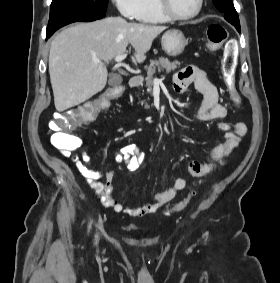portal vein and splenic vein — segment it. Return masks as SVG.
Wrapping results in <instances>:
<instances>
[{"label":"portal vein and splenic vein","mask_w":280,"mask_h":283,"mask_svg":"<svg viewBox=\"0 0 280 283\" xmlns=\"http://www.w3.org/2000/svg\"><path fill=\"white\" fill-rule=\"evenodd\" d=\"M127 57V53H123V54H121V55H117L116 57H115V61L117 62V63H120L122 60H124L125 58ZM95 63H99L100 61L99 60H95L94 61ZM160 82V80L159 79H154V83H159Z\"/></svg>","instance_id":"portal-vein-and-splenic-vein-1"}]
</instances>
